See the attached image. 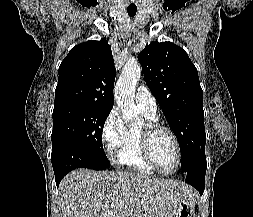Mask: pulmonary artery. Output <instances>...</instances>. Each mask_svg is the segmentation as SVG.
Here are the masks:
<instances>
[{"mask_svg":"<svg viewBox=\"0 0 253 217\" xmlns=\"http://www.w3.org/2000/svg\"><path fill=\"white\" fill-rule=\"evenodd\" d=\"M137 106L152 117L158 118L159 111L155 97L146 86H139L136 90Z\"/></svg>","mask_w":253,"mask_h":217,"instance_id":"obj_1","label":"pulmonary artery"}]
</instances>
